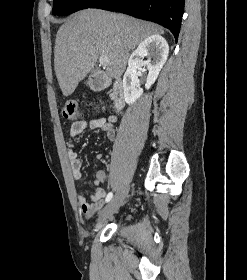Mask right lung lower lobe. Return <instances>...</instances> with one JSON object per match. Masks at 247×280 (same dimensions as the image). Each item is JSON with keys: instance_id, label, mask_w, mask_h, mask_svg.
I'll return each instance as SVG.
<instances>
[{"instance_id": "1", "label": "right lung lower lobe", "mask_w": 247, "mask_h": 280, "mask_svg": "<svg viewBox=\"0 0 247 280\" xmlns=\"http://www.w3.org/2000/svg\"><path fill=\"white\" fill-rule=\"evenodd\" d=\"M185 0H98L91 8H103L157 22L178 39Z\"/></svg>"}]
</instances>
